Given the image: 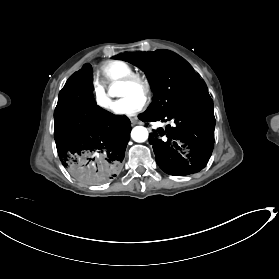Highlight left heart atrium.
Listing matches in <instances>:
<instances>
[{
    "label": "left heart atrium",
    "mask_w": 279,
    "mask_h": 279,
    "mask_svg": "<svg viewBox=\"0 0 279 279\" xmlns=\"http://www.w3.org/2000/svg\"><path fill=\"white\" fill-rule=\"evenodd\" d=\"M144 106L143 97H124L114 105V112L118 115L132 116L140 112Z\"/></svg>",
    "instance_id": "left-heart-atrium-1"
}]
</instances>
